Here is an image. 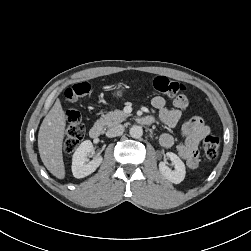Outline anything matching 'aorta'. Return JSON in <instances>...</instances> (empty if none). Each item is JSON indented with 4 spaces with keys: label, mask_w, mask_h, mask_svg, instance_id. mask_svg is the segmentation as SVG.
I'll return each instance as SVG.
<instances>
[{
    "label": "aorta",
    "mask_w": 251,
    "mask_h": 251,
    "mask_svg": "<svg viewBox=\"0 0 251 251\" xmlns=\"http://www.w3.org/2000/svg\"><path fill=\"white\" fill-rule=\"evenodd\" d=\"M130 136L132 138H135V139H138V138H141L142 135H143V129L141 126H138V125H134L130 128Z\"/></svg>",
    "instance_id": "obj_1"
}]
</instances>
